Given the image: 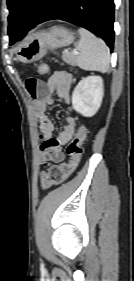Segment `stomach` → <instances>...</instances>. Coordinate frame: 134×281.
I'll use <instances>...</instances> for the list:
<instances>
[{"instance_id":"1","label":"stomach","mask_w":134,"mask_h":281,"mask_svg":"<svg viewBox=\"0 0 134 281\" xmlns=\"http://www.w3.org/2000/svg\"><path fill=\"white\" fill-rule=\"evenodd\" d=\"M74 39V34L63 27H53L48 31L34 33L22 43L17 59L22 63L38 61L48 50L69 46Z\"/></svg>"}]
</instances>
